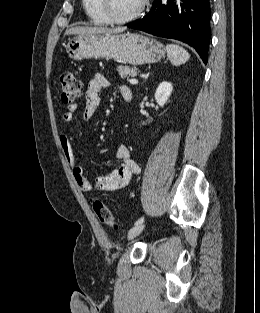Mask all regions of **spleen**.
<instances>
[{
    "mask_svg": "<svg viewBox=\"0 0 260 313\" xmlns=\"http://www.w3.org/2000/svg\"><path fill=\"white\" fill-rule=\"evenodd\" d=\"M167 55L170 59L172 65L179 66L181 64L186 63L190 55L189 53L181 46L176 44H168L166 46Z\"/></svg>",
    "mask_w": 260,
    "mask_h": 313,
    "instance_id": "spleen-1",
    "label": "spleen"
}]
</instances>
